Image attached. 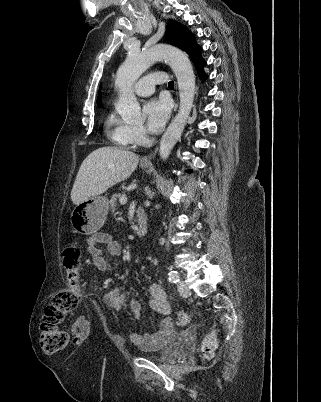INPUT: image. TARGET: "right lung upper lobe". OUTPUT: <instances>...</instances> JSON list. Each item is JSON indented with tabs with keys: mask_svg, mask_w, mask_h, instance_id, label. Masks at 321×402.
<instances>
[{
	"mask_svg": "<svg viewBox=\"0 0 321 402\" xmlns=\"http://www.w3.org/2000/svg\"><path fill=\"white\" fill-rule=\"evenodd\" d=\"M100 90H101V85H100ZM97 104L98 106L101 105V92L99 91V95L97 97Z\"/></svg>",
	"mask_w": 321,
	"mask_h": 402,
	"instance_id": "cb5924a9",
	"label": "right lung upper lobe"
}]
</instances>
